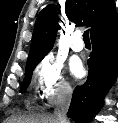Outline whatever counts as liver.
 I'll return each mask as SVG.
<instances>
[{
  "instance_id": "6515ba94",
  "label": "liver",
  "mask_w": 118,
  "mask_h": 123,
  "mask_svg": "<svg viewBox=\"0 0 118 123\" xmlns=\"http://www.w3.org/2000/svg\"><path fill=\"white\" fill-rule=\"evenodd\" d=\"M4 123H59L52 114H32L29 116H11Z\"/></svg>"
}]
</instances>
